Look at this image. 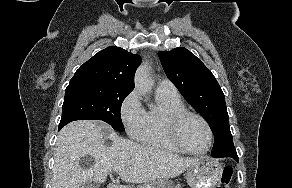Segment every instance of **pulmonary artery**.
Segmentation results:
<instances>
[{"label":"pulmonary artery","instance_id":"1","mask_svg":"<svg viewBox=\"0 0 292 188\" xmlns=\"http://www.w3.org/2000/svg\"><path fill=\"white\" fill-rule=\"evenodd\" d=\"M156 90L158 92L170 94V95H178V91L176 86L170 80H161L157 84Z\"/></svg>","mask_w":292,"mask_h":188}]
</instances>
